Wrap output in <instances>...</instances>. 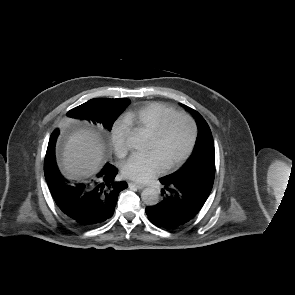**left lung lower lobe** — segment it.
<instances>
[{"instance_id": "1", "label": "left lung lower lobe", "mask_w": 295, "mask_h": 295, "mask_svg": "<svg viewBox=\"0 0 295 295\" xmlns=\"http://www.w3.org/2000/svg\"><path fill=\"white\" fill-rule=\"evenodd\" d=\"M214 175L205 173L186 178L168 175L160 178L164 185L161 190L163 200L146 208L149 221L164 229H175L190 221L207 200Z\"/></svg>"}]
</instances>
